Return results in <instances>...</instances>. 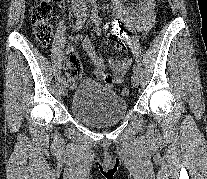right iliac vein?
<instances>
[{
    "mask_svg": "<svg viewBox=\"0 0 207 179\" xmlns=\"http://www.w3.org/2000/svg\"><path fill=\"white\" fill-rule=\"evenodd\" d=\"M75 16H76L77 18H79V17L81 16V13H80V12H76V13H75ZM61 91H62L63 96H66L67 93H68V85H67V84H64V85L62 86Z\"/></svg>",
    "mask_w": 207,
    "mask_h": 179,
    "instance_id": "1",
    "label": "right iliac vein"
}]
</instances>
